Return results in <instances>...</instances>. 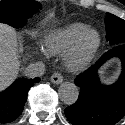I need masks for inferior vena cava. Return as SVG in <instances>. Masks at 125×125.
I'll use <instances>...</instances> for the list:
<instances>
[{"mask_svg": "<svg viewBox=\"0 0 125 125\" xmlns=\"http://www.w3.org/2000/svg\"><path fill=\"white\" fill-rule=\"evenodd\" d=\"M45 72V64L43 62L30 63L24 71V75L29 78L42 76Z\"/></svg>", "mask_w": 125, "mask_h": 125, "instance_id": "obj_1", "label": "inferior vena cava"}]
</instances>
